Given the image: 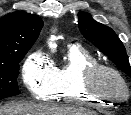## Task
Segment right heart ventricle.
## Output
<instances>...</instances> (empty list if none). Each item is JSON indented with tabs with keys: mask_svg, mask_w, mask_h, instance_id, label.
Wrapping results in <instances>:
<instances>
[{
	"mask_svg": "<svg viewBox=\"0 0 131 115\" xmlns=\"http://www.w3.org/2000/svg\"><path fill=\"white\" fill-rule=\"evenodd\" d=\"M65 58V64L56 68L57 89L51 99L95 107L106 106L113 102L90 95L81 88L84 69L98 63L92 53L79 46H69Z\"/></svg>",
	"mask_w": 131,
	"mask_h": 115,
	"instance_id": "e07e8e85",
	"label": "right heart ventricle"
}]
</instances>
